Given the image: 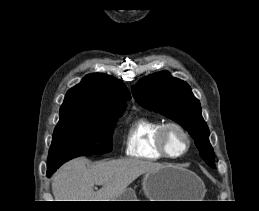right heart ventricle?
Segmentation results:
<instances>
[{
  "label": "right heart ventricle",
  "mask_w": 259,
  "mask_h": 211,
  "mask_svg": "<svg viewBox=\"0 0 259 211\" xmlns=\"http://www.w3.org/2000/svg\"><path fill=\"white\" fill-rule=\"evenodd\" d=\"M162 124V120L148 115L132 119L125 133L126 155L152 161L165 159L157 147V133Z\"/></svg>",
  "instance_id": "right-heart-ventricle-1"
}]
</instances>
